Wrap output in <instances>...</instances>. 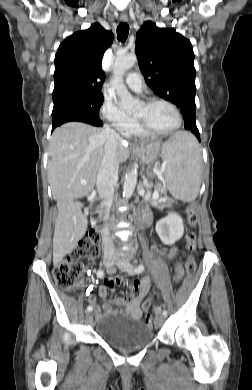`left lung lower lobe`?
Segmentation results:
<instances>
[{"label":"left lung lower lobe","mask_w":252,"mask_h":390,"mask_svg":"<svg viewBox=\"0 0 252 390\" xmlns=\"http://www.w3.org/2000/svg\"><path fill=\"white\" fill-rule=\"evenodd\" d=\"M185 129L190 130L200 140L199 131L196 126L195 114H188L185 118Z\"/></svg>","instance_id":"1"}]
</instances>
